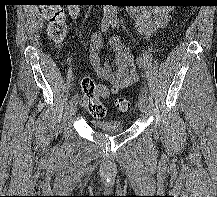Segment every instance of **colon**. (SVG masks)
<instances>
[{"instance_id":"colon-1","label":"colon","mask_w":217,"mask_h":197,"mask_svg":"<svg viewBox=\"0 0 217 197\" xmlns=\"http://www.w3.org/2000/svg\"><path fill=\"white\" fill-rule=\"evenodd\" d=\"M42 12L48 19V36L56 44L60 45L67 35L64 6L61 0H42ZM82 103L85 109L96 119H102L106 115V108L100 99L107 95V88L97 84L90 78H84L81 82ZM115 106L119 111L125 112L130 108V101L118 98Z\"/></svg>"}]
</instances>
